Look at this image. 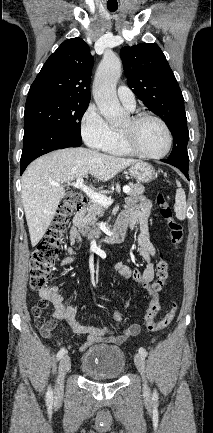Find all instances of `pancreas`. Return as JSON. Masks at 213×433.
I'll use <instances>...</instances> for the list:
<instances>
[{
    "label": "pancreas",
    "instance_id": "pancreas-1",
    "mask_svg": "<svg viewBox=\"0 0 213 433\" xmlns=\"http://www.w3.org/2000/svg\"><path fill=\"white\" fill-rule=\"evenodd\" d=\"M130 192L128 193L131 197H137L142 195L145 188L141 184H129ZM105 208L97 202L91 201L86 208H83L79 213L82 230L84 234L94 236L99 233L97 228L98 218L104 214Z\"/></svg>",
    "mask_w": 213,
    "mask_h": 433
}]
</instances>
